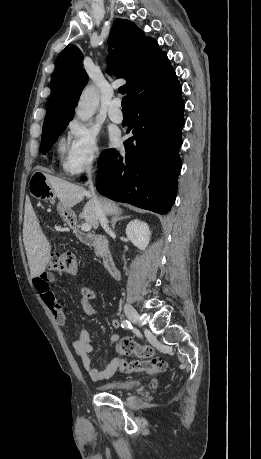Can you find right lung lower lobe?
<instances>
[{"label": "right lung lower lobe", "mask_w": 261, "mask_h": 459, "mask_svg": "<svg viewBox=\"0 0 261 459\" xmlns=\"http://www.w3.org/2000/svg\"><path fill=\"white\" fill-rule=\"evenodd\" d=\"M181 93L177 81L131 106L134 135L124 142L125 153L110 149L101 156L96 185L99 193L159 214L171 209L182 166Z\"/></svg>", "instance_id": "98d812e1"}]
</instances>
